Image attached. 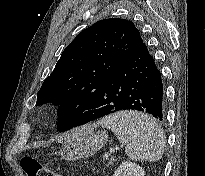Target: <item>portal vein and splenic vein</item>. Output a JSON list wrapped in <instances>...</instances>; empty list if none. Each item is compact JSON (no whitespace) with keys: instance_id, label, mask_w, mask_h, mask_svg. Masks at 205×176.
<instances>
[{"instance_id":"1","label":"portal vein and splenic vein","mask_w":205,"mask_h":176,"mask_svg":"<svg viewBox=\"0 0 205 176\" xmlns=\"http://www.w3.org/2000/svg\"><path fill=\"white\" fill-rule=\"evenodd\" d=\"M110 152H111V153L115 152V148H111V149H110ZM105 156H108V154H105Z\"/></svg>"}]
</instances>
